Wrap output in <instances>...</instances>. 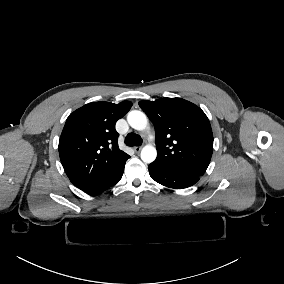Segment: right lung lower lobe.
<instances>
[{"label":"right lung lower lobe","mask_w":284,"mask_h":284,"mask_svg":"<svg viewBox=\"0 0 284 284\" xmlns=\"http://www.w3.org/2000/svg\"><path fill=\"white\" fill-rule=\"evenodd\" d=\"M124 166L125 164L120 169H118L113 175H111L104 183H102L101 185H99L98 187H96L95 189L91 190L88 193L90 194L101 193L109 189L111 186L115 185L116 183H118L123 175Z\"/></svg>","instance_id":"98d812e1"}]
</instances>
